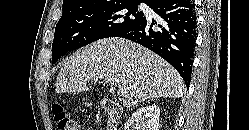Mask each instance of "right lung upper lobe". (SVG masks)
Wrapping results in <instances>:
<instances>
[{"label": "right lung upper lobe", "instance_id": "1", "mask_svg": "<svg viewBox=\"0 0 249 130\" xmlns=\"http://www.w3.org/2000/svg\"><path fill=\"white\" fill-rule=\"evenodd\" d=\"M109 1H117V0H64L63 1V13L69 12V11H75L79 10L91 5L103 3V2H109ZM136 1H142L146 4H149L151 0H136Z\"/></svg>", "mask_w": 249, "mask_h": 130}]
</instances>
